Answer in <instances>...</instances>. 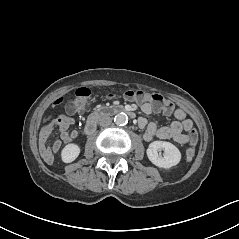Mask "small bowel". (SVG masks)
I'll list each match as a JSON object with an SVG mask.
<instances>
[{
  "label": "small bowel",
  "mask_w": 239,
  "mask_h": 239,
  "mask_svg": "<svg viewBox=\"0 0 239 239\" xmlns=\"http://www.w3.org/2000/svg\"><path fill=\"white\" fill-rule=\"evenodd\" d=\"M145 114H151L159 111L154 108L149 102L141 106ZM166 115L173 114L175 121L170 125L158 127L155 123L148 122L144 117H140L138 124L141 128L145 129L143 138L145 141H151L154 138L162 140H172L177 143H187L189 141L190 133L193 129V122L187 118L183 109L177 108L172 112H164ZM75 123L72 117L66 115H58L51 118L40 130L39 133V150L42 159L51 164L54 161V155L57 154L62 143L59 140L53 142L52 146L48 145V139L53 130L58 129L62 142L68 144L72 142L77 136L76 130H70L69 127Z\"/></svg>",
  "instance_id": "1"
}]
</instances>
